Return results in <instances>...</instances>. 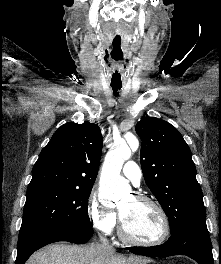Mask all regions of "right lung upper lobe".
<instances>
[{"label": "right lung upper lobe", "mask_w": 221, "mask_h": 264, "mask_svg": "<svg viewBox=\"0 0 221 264\" xmlns=\"http://www.w3.org/2000/svg\"><path fill=\"white\" fill-rule=\"evenodd\" d=\"M101 153L102 135L96 124L66 123L41 151L27 190L45 186L92 188Z\"/></svg>", "instance_id": "cb5924a9"}]
</instances>
